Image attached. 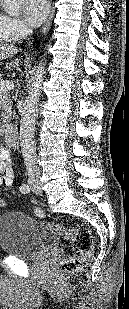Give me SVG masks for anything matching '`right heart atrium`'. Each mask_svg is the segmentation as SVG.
Returning <instances> with one entry per match:
<instances>
[{
  "mask_svg": "<svg viewBox=\"0 0 129 309\" xmlns=\"http://www.w3.org/2000/svg\"><path fill=\"white\" fill-rule=\"evenodd\" d=\"M5 27L8 35L13 41L23 39L30 32L27 24L18 17L6 16Z\"/></svg>",
  "mask_w": 129,
  "mask_h": 309,
  "instance_id": "obj_1",
  "label": "right heart atrium"
}]
</instances>
